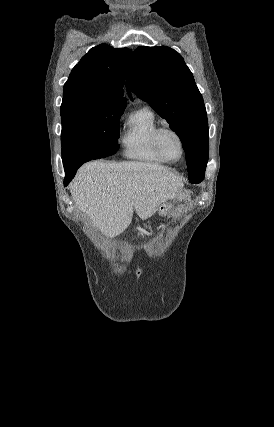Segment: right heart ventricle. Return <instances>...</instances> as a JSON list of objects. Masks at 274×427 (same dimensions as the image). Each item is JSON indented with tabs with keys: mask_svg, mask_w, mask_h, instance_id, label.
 I'll return each instance as SVG.
<instances>
[{
	"mask_svg": "<svg viewBox=\"0 0 274 427\" xmlns=\"http://www.w3.org/2000/svg\"><path fill=\"white\" fill-rule=\"evenodd\" d=\"M159 122L149 107H141L128 118L120 144L125 158L149 164H164L154 146V136Z\"/></svg>",
	"mask_w": 274,
	"mask_h": 427,
	"instance_id": "e07e8e85",
	"label": "right heart ventricle"
}]
</instances>
